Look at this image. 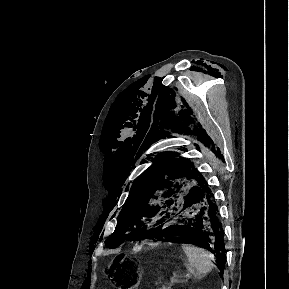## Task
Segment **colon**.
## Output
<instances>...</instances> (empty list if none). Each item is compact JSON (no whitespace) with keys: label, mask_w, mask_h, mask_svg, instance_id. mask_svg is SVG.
Instances as JSON below:
<instances>
[{"label":"colon","mask_w":289,"mask_h":289,"mask_svg":"<svg viewBox=\"0 0 289 289\" xmlns=\"http://www.w3.org/2000/svg\"><path fill=\"white\" fill-rule=\"evenodd\" d=\"M108 275L118 289H137L140 270L132 262H120L108 268Z\"/></svg>","instance_id":"obj_1"}]
</instances>
